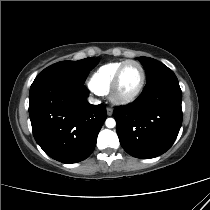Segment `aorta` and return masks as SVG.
Here are the masks:
<instances>
[{
	"mask_svg": "<svg viewBox=\"0 0 210 210\" xmlns=\"http://www.w3.org/2000/svg\"><path fill=\"white\" fill-rule=\"evenodd\" d=\"M105 124L108 128H114L116 126V121L113 118H107Z\"/></svg>",
	"mask_w": 210,
	"mask_h": 210,
	"instance_id": "aorta-1",
	"label": "aorta"
}]
</instances>
